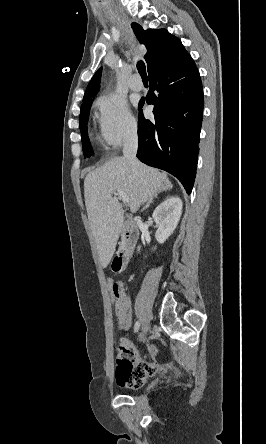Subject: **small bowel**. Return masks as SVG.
I'll list each match as a JSON object with an SVG mask.
<instances>
[{
	"label": "small bowel",
	"mask_w": 266,
	"mask_h": 444,
	"mask_svg": "<svg viewBox=\"0 0 266 444\" xmlns=\"http://www.w3.org/2000/svg\"><path fill=\"white\" fill-rule=\"evenodd\" d=\"M114 309L119 329L122 331L128 330L131 326L132 317L131 302L127 294L124 293L121 304ZM148 345L150 349L153 348L150 343ZM171 366L170 362L146 361L138 357L133 344L123 338L118 346L115 369L116 382L120 387L138 389L147 378L157 371Z\"/></svg>",
	"instance_id": "obj_1"
}]
</instances>
